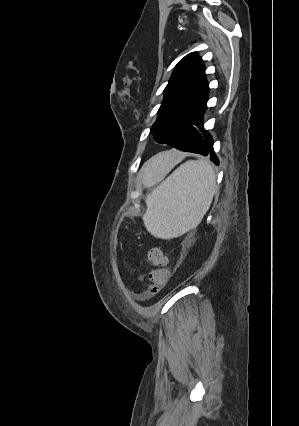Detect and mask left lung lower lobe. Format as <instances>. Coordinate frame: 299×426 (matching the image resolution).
<instances>
[{"label":"left lung lower lobe","mask_w":299,"mask_h":426,"mask_svg":"<svg viewBox=\"0 0 299 426\" xmlns=\"http://www.w3.org/2000/svg\"><path fill=\"white\" fill-rule=\"evenodd\" d=\"M207 107L205 106L181 133L172 142L171 146L181 151L199 153L201 155H210V159L219 165L218 158L214 153L213 140L203 128V115Z\"/></svg>","instance_id":"left-lung-lower-lobe-1"}]
</instances>
